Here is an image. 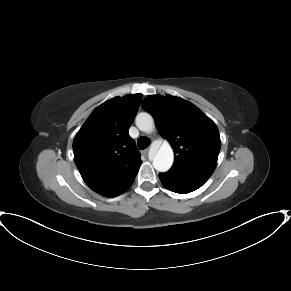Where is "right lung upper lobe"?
I'll return each mask as SVG.
<instances>
[{
    "mask_svg": "<svg viewBox=\"0 0 291 291\" xmlns=\"http://www.w3.org/2000/svg\"><path fill=\"white\" fill-rule=\"evenodd\" d=\"M142 94L115 97L97 107L73 140L75 164L86 184L98 194L115 197L127 190L141 165L128 130Z\"/></svg>",
    "mask_w": 291,
    "mask_h": 291,
    "instance_id": "cb5924a9",
    "label": "right lung upper lobe"
}]
</instances>
